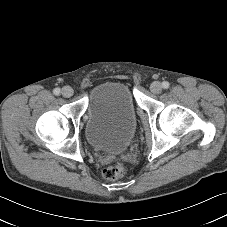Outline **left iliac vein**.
Wrapping results in <instances>:
<instances>
[{
    "instance_id": "obj_1",
    "label": "left iliac vein",
    "mask_w": 227,
    "mask_h": 227,
    "mask_svg": "<svg viewBox=\"0 0 227 227\" xmlns=\"http://www.w3.org/2000/svg\"><path fill=\"white\" fill-rule=\"evenodd\" d=\"M150 90L154 94H159L162 91V85L160 82L155 81L150 85Z\"/></svg>"
}]
</instances>
